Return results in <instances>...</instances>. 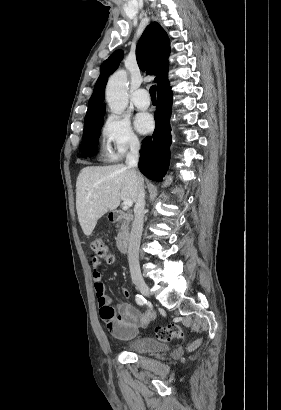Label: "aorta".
<instances>
[{
	"mask_svg": "<svg viewBox=\"0 0 281 410\" xmlns=\"http://www.w3.org/2000/svg\"><path fill=\"white\" fill-rule=\"evenodd\" d=\"M106 100L111 111L115 114L124 112L128 105L127 74L121 70L114 73L106 86Z\"/></svg>",
	"mask_w": 281,
	"mask_h": 410,
	"instance_id": "762f6f07",
	"label": "aorta"
}]
</instances>
